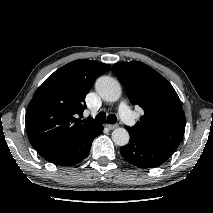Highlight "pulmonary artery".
<instances>
[{
  "mask_svg": "<svg viewBox=\"0 0 213 213\" xmlns=\"http://www.w3.org/2000/svg\"><path fill=\"white\" fill-rule=\"evenodd\" d=\"M119 114L124 123L129 126L134 124L133 114L125 102H122L119 106Z\"/></svg>",
  "mask_w": 213,
  "mask_h": 213,
  "instance_id": "pulmonary-artery-1",
  "label": "pulmonary artery"
}]
</instances>
